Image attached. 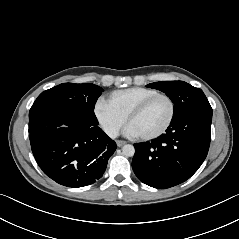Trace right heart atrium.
<instances>
[{"instance_id": "right-heart-atrium-1", "label": "right heart atrium", "mask_w": 239, "mask_h": 239, "mask_svg": "<svg viewBox=\"0 0 239 239\" xmlns=\"http://www.w3.org/2000/svg\"><path fill=\"white\" fill-rule=\"evenodd\" d=\"M96 118L102 129L110 137L118 135L126 122V116L111 107L105 100H99L94 108Z\"/></svg>"}]
</instances>
